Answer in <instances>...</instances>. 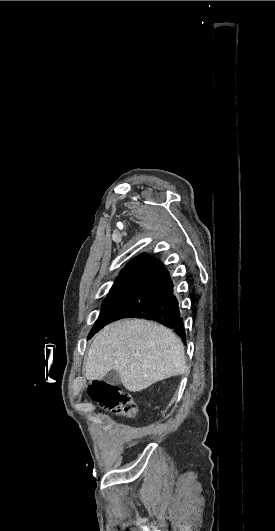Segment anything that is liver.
I'll use <instances>...</instances> for the list:
<instances>
[{"mask_svg": "<svg viewBox=\"0 0 275 531\" xmlns=\"http://www.w3.org/2000/svg\"><path fill=\"white\" fill-rule=\"evenodd\" d=\"M184 347L167 327L144 319L116 321L96 335L84 373L101 381L110 371L119 373L127 391H142L157 381L184 375Z\"/></svg>", "mask_w": 275, "mask_h": 531, "instance_id": "liver-1", "label": "liver"}]
</instances>
